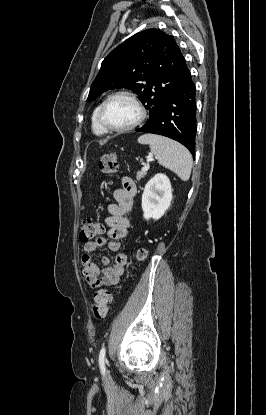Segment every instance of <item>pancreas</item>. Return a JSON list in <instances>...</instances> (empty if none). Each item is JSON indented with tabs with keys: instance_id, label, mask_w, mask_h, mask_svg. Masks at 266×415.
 Returning <instances> with one entry per match:
<instances>
[{
	"instance_id": "1",
	"label": "pancreas",
	"mask_w": 266,
	"mask_h": 415,
	"mask_svg": "<svg viewBox=\"0 0 266 415\" xmlns=\"http://www.w3.org/2000/svg\"><path fill=\"white\" fill-rule=\"evenodd\" d=\"M146 174H147L146 171H139V172H137L136 179L139 181L142 178H144Z\"/></svg>"
}]
</instances>
